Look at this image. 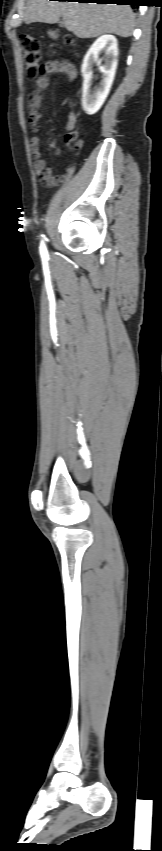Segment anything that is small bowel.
I'll return each mask as SVG.
<instances>
[{"instance_id": "obj_1", "label": "small bowel", "mask_w": 162, "mask_h": 851, "mask_svg": "<svg viewBox=\"0 0 162 851\" xmlns=\"http://www.w3.org/2000/svg\"><path fill=\"white\" fill-rule=\"evenodd\" d=\"M64 73L69 79H74L77 76L75 66L68 61H49L43 65V75L40 76L35 83V90L31 94L29 102L30 125L33 130L38 128L39 109L42 99V91L49 85L48 75ZM56 140H50V147L53 148L56 154H60V149L56 147ZM31 154L34 159V171L41 177L46 185H54V177L52 170L47 167L46 161L43 159V150L41 138L38 135H33L30 141Z\"/></svg>"}]
</instances>
